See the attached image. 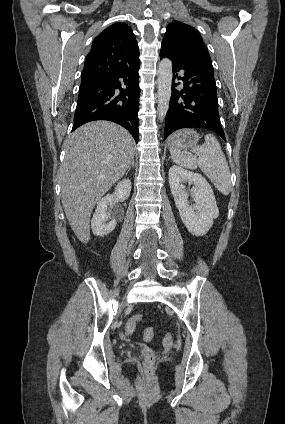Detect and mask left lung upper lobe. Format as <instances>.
I'll return each mask as SVG.
<instances>
[{"mask_svg":"<svg viewBox=\"0 0 285 424\" xmlns=\"http://www.w3.org/2000/svg\"><path fill=\"white\" fill-rule=\"evenodd\" d=\"M162 44L182 56L201 55L210 58L200 33L179 21L168 25Z\"/></svg>","mask_w":285,"mask_h":424,"instance_id":"left-lung-upper-lobe-1","label":"left lung upper lobe"}]
</instances>
